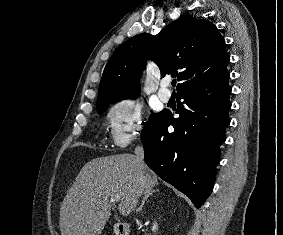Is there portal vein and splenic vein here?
Masks as SVG:
<instances>
[{
	"mask_svg": "<svg viewBox=\"0 0 283 235\" xmlns=\"http://www.w3.org/2000/svg\"><path fill=\"white\" fill-rule=\"evenodd\" d=\"M120 200V196L116 193L111 194V201L118 202Z\"/></svg>",
	"mask_w": 283,
	"mask_h": 235,
	"instance_id": "1",
	"label": "portal vein and splenic vein"
}]
</instances>
